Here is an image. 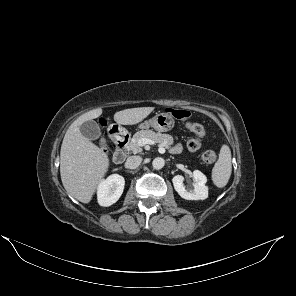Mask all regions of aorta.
I'll list each match as a JSON object with an SVG mask.
<instances>
[{"mask_svg": "<svg viewBox=\"0 0 296 296\" xmlns=\"http://www.w3.org/2000/svg\"><path fill=\"white\" fill-rule=\"evenodd\" d=\"M164 165H165V160L161 157L155 158L152 162V166L156 170L162 169Z\"/></svg>", "mask_w": 296, "mask_h": 296, "instance_id": "762f6f07", "label": "aorta"}]
</instances>
